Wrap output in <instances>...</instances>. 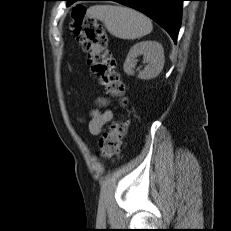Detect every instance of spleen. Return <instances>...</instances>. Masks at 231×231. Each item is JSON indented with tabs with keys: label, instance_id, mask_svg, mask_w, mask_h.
Masks as SVG:
<instances>
[{
	"label": "spleen",
	"instance_id": "1",
	"mask_svg": "<svg viewBox=\"0 0 231 231\" xmlns=\"http://www.w3.org/2000/svg\"><path fill=\"white\" fill-rule=\"evenodd\" d=\"M88 13L102 21L108 32L120 39H138L153 29L152 21L147 16L124 6L94 5Z\"/></svg>",
	"mask_w": 231,
	"mask_h": 231
}]
</instances>
